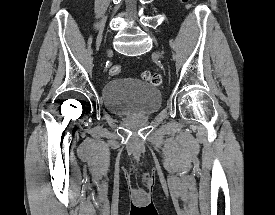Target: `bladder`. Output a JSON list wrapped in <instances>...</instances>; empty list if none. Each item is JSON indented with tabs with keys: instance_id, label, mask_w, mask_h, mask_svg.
I'll return each instance as SVG.
<instances>
[{
	"instance_id": "bladder-1",
	"label": "bladder",
	"mask_w": 275,
	"mask_h": 215,
	"mask_svg": "<svg viewBox=\"0 0 275 215\" xmlns=\"http://www.w3.org/2000/svg\"><path fill=\"white\" fill-rule=\"evenodd\" d=\"M102 100L118 116H150L161 106V93L148 81L112 79L102 88Z\"/></svg>"
}]
</instances>
